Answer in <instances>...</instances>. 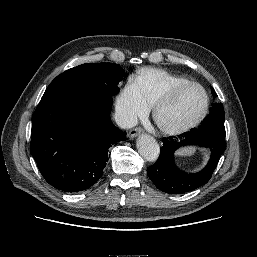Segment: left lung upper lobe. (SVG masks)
<instances>
[{
    "label": "left lung upper lobe",
    "instance_id": "1",
    "mask_svg": "<svg viewBox=\"0 0 257 257\" xmlns=\"http://www.w3.org/2000/svg\"><path fill=\"white\" fill-rule=\"evenodd\" d=\"M211 92L214 97L217 96L215 90L211 87ZM224 109L221 103H216L213 105L212 110L205 123L201 127L200 131L214 132L218 134H225L224 126Z\"/></svg>",
    "mask_w": 257,
    "mask_h": 257
}]
</instances>
